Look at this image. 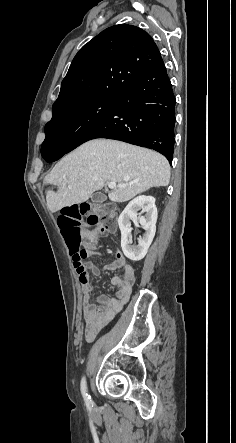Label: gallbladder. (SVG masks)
<instances>
[{"label":"gallbladder","mask_w":236,"mask_h":443,"mask_svg":"<svg viewBox=\"0 0 236 443\" xmlns=\"http://www.w3.org/2000/svg\"><path fill=\"white\" fill-rule=\"evenodd\" d=\"M91 200L95 203H102L106 200V196L101 192H96L92 195Z\"/></svg>","instance_id":"gallbladder-1"}]
</instances>
